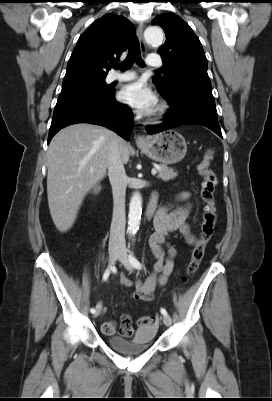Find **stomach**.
<instances>
[{
  "mask_svg": "<svg viewBox=\"0 0 272 401\" xmlns=\"http://www.w3.org/2000/svg\"><path fill=\"white\" fill-rule=\"evenodd\" d=\"M139 148L149 158L164 165L181 161L187 152L185 138L175 130H169L147 138Z\"/></svg>",
  "mask_w": 272,
  "mask_h": 401,
  "instance_id": "obj_1",
  "label": "stomach"
}]
</instances>
